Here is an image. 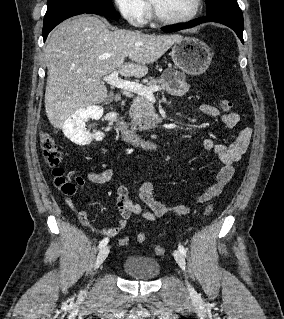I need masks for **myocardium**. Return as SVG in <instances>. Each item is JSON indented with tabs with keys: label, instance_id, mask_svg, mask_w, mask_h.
<instances>
[{
	"label": "myocardium",
	"instance_id": "1",
	"mask_svg": "<svg viewBox=\"0 0 284 319\" xmlns=\"http://www.w3.org/2000/svg\"><path fill=\"white\" fill-rule=\"evenodd\" d=\"M202 4H203V0H195L194 8L190 14L184 17L173 18V17H167L162 15L150 2L151 16L155 21L159 23H163V24L187 23L194 20L199 15L202 8Z\"/></svg>",
	"mask_w": 284,
	"mask_h": 319
}]
</instances>
